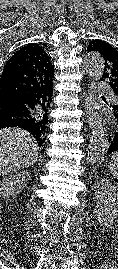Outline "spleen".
<instances>
[{"label": "spleen", "mask_w": 118, "mask_h": 269, "mask_svg": "<svg viewBox=\"0 0 118 269\" xmlns=\"http://www.w3.org/2000/svg\"><path fill=\"white\" fill-rule=\"evenodd\" d=\"M110 170L112 175L118 179V151L111 157Z\"/></svg>", "instance_id": "obj_1"}]
</instances>
